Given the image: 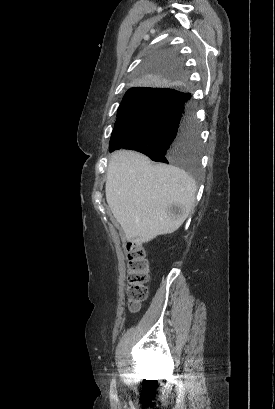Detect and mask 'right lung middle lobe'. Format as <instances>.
Wrapping results in <instances>:
<instances>
[{
	"label": "right lung middle lobe",
	"mask_w": 275,
	"mask_h": 409,
	"mask_svg": "<svg viewBox=\"0 0 275 409\" xmlns=\"http://www.w3.org/2000/svg\"><path fill=\"white\" fill-rule=\"evenodd\" d=\"M135 73L136 90L123 98L111 135L109 151L136 150L156 162L182 167L199 182L201 145L192 94L183 90V57H146Z\"/></svg>",
	"instance_id": "right-lung-middle-lobe-1"
}]
</instances>
